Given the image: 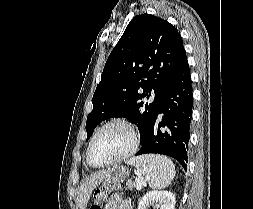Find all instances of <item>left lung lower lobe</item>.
<instances>
[{
    "label": "left lung lower lobe",
    "instance_id": "obj_1",
    "mask_svg": "<svg viewBox=\"0 0 253 209\" xmlns=\"http://www.w3.org/2000/svg\"><path fill=\"white\" fill-rule=\"evenodd\" d=\"M192 106L193 92L186 58L166 87L159 113L136 155H167L187 170Z\"/></svg>",
    "mask_w": 253,
    "mask_h": 209
}]
</instances>
